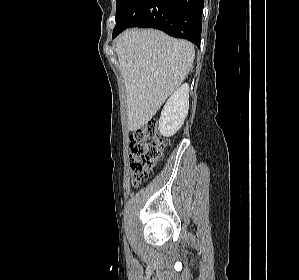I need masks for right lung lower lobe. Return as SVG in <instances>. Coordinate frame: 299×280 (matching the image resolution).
<instances>
[{
  "instance_id": "obj_1",
  "label": "right lung lower lobe",
  "mask_w": 299,
  "mask_h": 280,
  "mask_svg": "<svg viewBox=\"0 0 299 280\" xmlns=\"http://www.w3.org/2000/svg\"><path fill=\"white\" fill-rule=\"evenodd\" d=\"M204 0H124L112 38L129 27L155 28L200 47Z\"/></svg>"
}]
</instances>
